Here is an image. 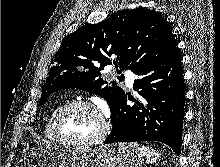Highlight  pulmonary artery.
I'll use <instances>...</instances> for the list:
<instances>
[{
  "label": "pulmonary artery",
  "mask_w": 220,
  "mask_h": 167,
  "mask_svg": "<svg viewBox=\"0 0 220 167\" xmlns=\"http://www.w3.org/2000/svg\"><path fill=\"white\" fill-rule=\"evenodd\" d=\"M125 84L128 88H132L133 86V76L131 74V72H125Z\"/></svg>",
  "instance_id": "1"
}]
</instances>
